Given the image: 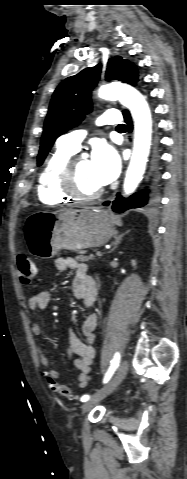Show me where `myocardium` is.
Returning <instances> with one entry per match:
<instances>
[{"label":"myocardium","instance_id":"1","mask_svg":"<svg viewBox=\"0 0 187 479\" xmlns=\"http://www.w3.org/2000/svg\"><path fill=\"white\" fill-rule=\"evenodd\" d=\"M79 159L80 157H72L64 166L61 173V190L76 201L90 202L97 200L104 192L102 187L90 194L84 193L79 187L77 173Z\"/></svg>","mask_w":187,"mask_h":479}]
</instances>
